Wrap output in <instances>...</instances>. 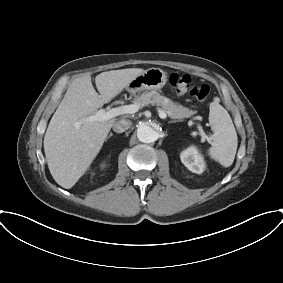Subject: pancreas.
<instances>
[{
  "label": "pancreas",
  "instance_id": "obj_1",
  "mask_svg": "<svg viewBox=\"0 0 283 283\" xmlns=\"http://www.w3.org/2000/svg\"><path fill=\"white\" fill-rule=\"evenodd\" d=\"M134 103L140 106H147L149 104L160 106L170 118L177 119L176 121H181L183 118H190L197 113L195 110L174 103L155 91L143 93L140 97L134 99ZM193 119L196 120L199 117H194Z\"/></svg>",
  "mask_w": 283,
  "mask_h": 283
}]
</instances>
